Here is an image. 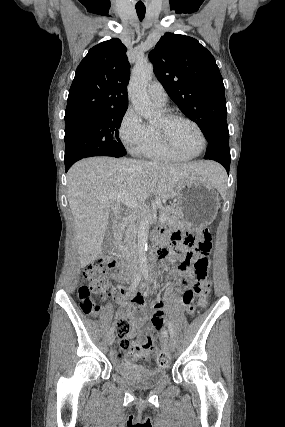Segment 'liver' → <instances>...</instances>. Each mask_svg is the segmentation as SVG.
Instances as JSON below:
<instances>
[{
	"mask_svg": "<svg viewBox=\"0 0 285 427\" xmlns=\"http://www.w3.org/2000/svg\"><path fill=\"white\" fill-rule=\"evenodd\" d=\"M218 170L223 168L209 161L173 164L92 157L75 163L67 173V197L74 218L81 267L99 257L110 214L121 212L113 200L102 201L103 196L120 193L139 204L153 193L166 201L188 180L214 186Z\"/></svg>",
	"mask_w": 285,
	"mask_h": 427,
	"instance_id": "6515ba94",
	"label": "liver"
}]
</instances>
